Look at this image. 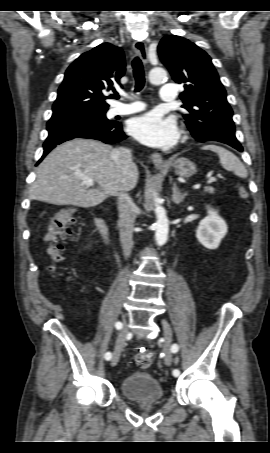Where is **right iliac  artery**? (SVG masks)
Listing matches in <instances>:
<instances>
[{
  "instance_id": "1",
  "label": "right iliac artery",
  "mask_w": 270,
  "mask_h": 453,
  "mask_svg": "<svg viewBox=\"0 0 270 453\" xmlns=\"http://www.w3.org/2000/svg\"><path fill=\"white\" fill-rule=\"evenodd\" d=\"M115 327H116L117 329H121V328H122V323H121V322H117V323L115 324ZM111 357H112L111 352H106V353H105V359H106V360H110Z\"/></svg>"
}]
</instances>
